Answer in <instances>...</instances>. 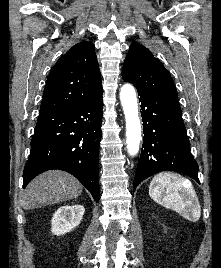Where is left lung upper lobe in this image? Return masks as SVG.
Listing matches in <instances>:
<instances>
[{
    "label": "left lung upper lobe",
    "mask_w": 221,
    "mask_h": 268,
    "mask_svg": "<svg viewBox=\"0 0 221 268\" xmlns=\"http://www.w3.org/2000/svg\"><path fill=\"white\" fill-rule=\"evenodd\" d=\"M122 78L137 91L177 97L176 87L167 69L142 44L134 42L124 61Z\"/></svg>",
    "instance_id": "1"
}]
</instances>
